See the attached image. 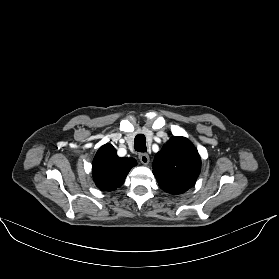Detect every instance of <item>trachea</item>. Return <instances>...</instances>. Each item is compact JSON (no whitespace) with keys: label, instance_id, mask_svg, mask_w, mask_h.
Wrapping results in <instances>:
<instances>
[{"label":"trachea","instance_id":"obj_1","mask_svg":"<svg viewBox=\"0 0 279 279\" xmlns=\"http://www.w3.org/2000/svg\"><path fill=\"white\" fill-rule=\"evenodd\" d=\"M134 148L137 152H146V138L143 134H138L134 139Z\"/></svg>","mask_w":279,"mask_h":279}]
</instances>
